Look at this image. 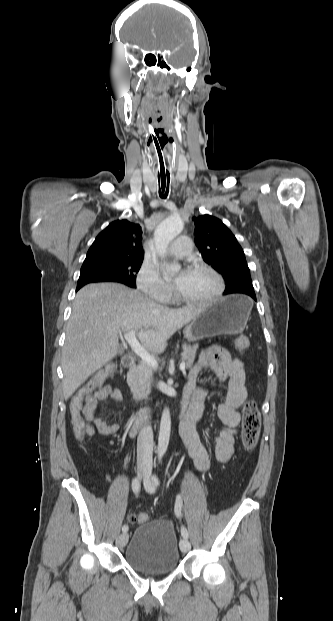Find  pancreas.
I'll return each instance as SVG.
<instances>
[{
    "label": "pancreas",
    "mask_w": 333,
    "mask_h": 621,
    "mask_svg": "<svg viewBox=\"0 0 333 621\" xmlns=\"http://www.w3.org/2000/svg\"><path fill=\"white\" fill-rule=\"evenodd\" d=\"M197 345H183L182 361L190 368L196 357ZM154 368L145 362H141L136 369L129 372V385L133 393V398L141 400L151 392V383Z\"/></svg>",
    "instance_id": "cf45deb5"
}]
</instances>
